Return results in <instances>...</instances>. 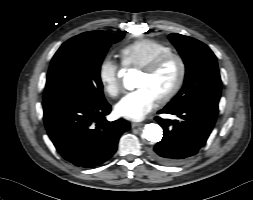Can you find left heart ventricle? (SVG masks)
<instances>
[{"mask_svg": "<svg viewBox=\"0 0 253 200\" xmlns=\"http://www.w3.org/2000/svg\"><path fill=\"white\" fill-rule=\"evenodd\" d=\"M179 67L176 61L166 64L159 72L153 75L141 73L136 80L138 88L149 89L158 99L168 92L178 76Z\"/></svg>", "mask_w": 253, "mask_h": 200, "instance_id": "b2bd125f", "label": "left heart ventricle"}]
</instances>
